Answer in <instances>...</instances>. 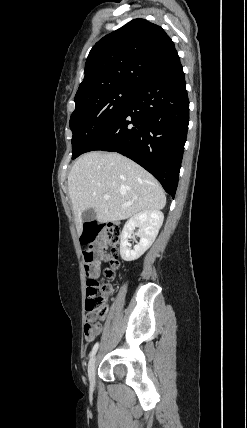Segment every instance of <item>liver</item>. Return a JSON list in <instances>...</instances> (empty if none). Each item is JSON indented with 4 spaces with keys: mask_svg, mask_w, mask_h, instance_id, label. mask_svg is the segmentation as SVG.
<instances>
[{
    "mask_svg": "<svg viewBox=\"0 0 247 428\" xmlns=\"http://www.w3.org/2000/svg\"><path fill=\"white\" fill-rule=\"evenodd\" d=\"M68 190L77 230L82 213L94 209L100 223L128 219L147 210H161L166 197L145 169L118 153L89 152L80 156L68 175ZM104 195H109L108 200Z\"/></svg>",
    "mask_w": 247,
    "mask_h": 428,
    "instance_id": "liver-1",
    "label": "liver"
}]
</instances>
